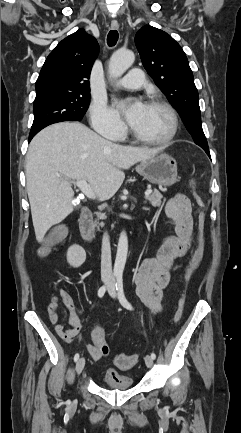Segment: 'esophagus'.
Instances as JSON below:
<instances>
[{
	"label": "esophagus",
	"instance_id": "34e87169",
	"mask_svg": "<svg viewBox=\"0 0 241 433\" xmlns=\"http://www.w3.org/2000/svg\"><path fill=\"white\" fill-rule=\"evenodd\" d=\"M111 28L112 29H118L119 28V24L117 21H112L111 22Z\"/></svg>",
	"mask_w": 241,
	"mask_h": 433
}]
</instances>
